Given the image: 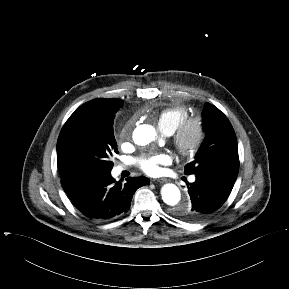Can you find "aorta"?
Wrapping results in <instances>:
<instances>
[{
  "instance_id": "762f6f07",
  "label": "aorta",
  "mask_w": 289,
  "mask_h": 289,
  "mask_svg": "<svg viewBox=\"0 0 289 289\" xmlns=\"http://www.w3.org/2000/svg\"><path fill=\"white\" fill-rule=\"evenodd\" d=\"M156 136L155 129L150 125H141L133 133V140L136 144L144 146L154 140ZM161 196L167 205L174 208L177 213L185 212L190 204L186 201L181 203V192L174 184H165L161 189Z\"/></svg>"
}]
</instances>
